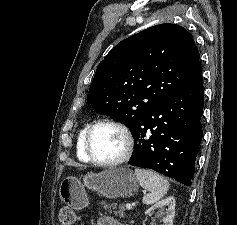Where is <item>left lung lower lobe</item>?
Masks as SVG:
<instances>
[{"mask_svg":"<svg viewBox=\"0 0 237 225\" xmlns=\"http://www.w3.org/2000/svg\"><path fill=\"white\" fill-rule=\"evenodd\" d=\"M203 83L157 103L132 131L129 164L153 169L190 186L203 132Z\"/></svg>","mask_w":237,"mask_h":225,"instance_id":"obj_1","label":"left lung lower lobe"}]
</instances>
